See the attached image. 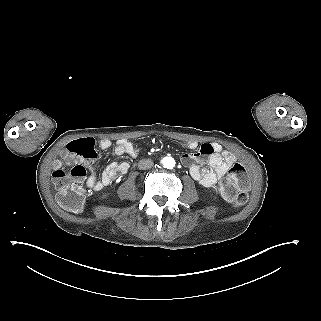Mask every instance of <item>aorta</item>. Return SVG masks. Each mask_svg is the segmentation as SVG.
Masks as SVG:
<instances>
[{
  "instance_id": "obj_1",
  "label": "aorta",
  "mask_w": 321,
  "mask_h": 321,
  "mask_svg": "<svg viewBox=\"0 0 321 321\" xmlns=\"http://www.w3.org/2000/svg\"><path fill=\"white\" fill-rule=\"evenodd\" d=\"M162 164L165 168L171 169L175 166V160L172 157H165L162 160Z\"/></svg>"
}]
</instances>
